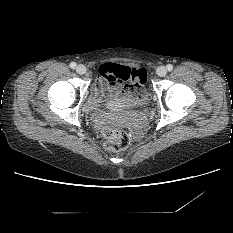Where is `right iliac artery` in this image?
I'll use <instances>...</instances> for the list:
<instances>
[{"label": "right iliac artery", "mask_w": 233, "mask_h": 233, "mask_svg": "<svg viewBox=\"0 0 233 233\" xmlns=\"http://www.w3.org/2000/svg\"><path fill=\"white\" fill-rule=\"evenodd\" d=\"M70 67H71L72 69H75L76 63H75V62H71V63H70Z\"/></svg>", "instance_id": "1"}]
</instances>
